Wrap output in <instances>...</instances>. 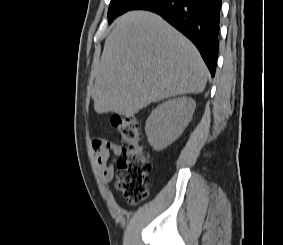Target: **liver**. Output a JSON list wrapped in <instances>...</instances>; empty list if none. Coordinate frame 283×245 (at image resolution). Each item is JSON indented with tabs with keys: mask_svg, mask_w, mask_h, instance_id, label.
Listing matches in <instances>:
<instances>
[{
	"mask_svg": "<svg viewBox=\"0 0 283 245\" xmlns=\"http://www.w3.org/2000/svg\"><path fill=\"white\" fill-rule=\"evenodd\" d=\"M114 24L95 77L97 113L130 118L152 102L204 90L208 70L198 50L159 15L129 11Z\"/></svg>",
	"mask_w": 283,
	"mask_h": 245,
	"instance_id": "6515ba94",
	"label": "liver"
}]
</instances>
